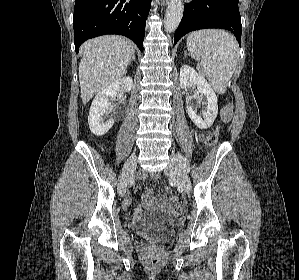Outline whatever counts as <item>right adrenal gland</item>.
<instances>
[{
  "label": "right adrenal gland",
  "mask_w": 299,
  "mask_h": 280,
  "mask_svg": "<svg viewBox=\"0 0 299 280\" xmlns=\"http://www.w3.org/2000/svg\"><path fill=\"white\" fill-rule=\"evenodd\" d=\"M132 61H135V52L133 53V55H132V57H131V59L129 61V64H131Z\"/></svg>",
  "instance_id": "obj_1"
}]
</instances>
